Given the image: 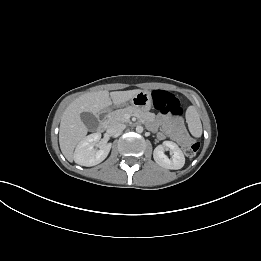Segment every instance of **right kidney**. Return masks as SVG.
I'll list each match as a JSON object with an SVG mask.
<instances>
[{"label":"right kidney","mask_w":261,"mask_h":261,"mask_svg":"<svg viewBox=\"0 0 261 261\" xmlns=\"http://www.w3.org/2000/svg\"><path fill=\"white\" fill-rule=\"evenodd\" d=\"M101 139L100 133H94L81 140L74 152L73 158L75 163L81 166H95L101 163L109 154L111 143H104L95 149L94 146Z\"/></svg>","instance_id":"1"}]
</instances>
